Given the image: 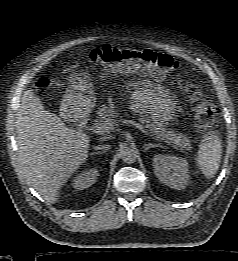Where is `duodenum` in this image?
Masks as SVG:
<instances>
[{
    "mask_svg": "<svg viewBox=\"0 0 238 261\" xmlns=\"http://www.w3.org/2000/svg\"><path fill=\"white\" fill-rule=\"evenodd\" d=\"M80 124L85 126L88 123V119L87 118H82L79 120Z\"/></svg>",
    "mask_w": 238,
    "mask_h": 261,
    "instance_id": "obj_1",
    "label": "duodenum"
}]
</instances>
